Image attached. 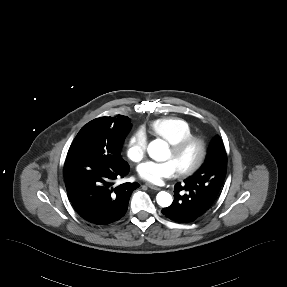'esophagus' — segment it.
I'll return each mask as SVG.
<instances>
[{
	"label": "esophagus",
	"mask_w": 287,
	"mask_h": 287,
	"mask_svg": "<svg viewBox=\"0 0 287 287\" xmlns=\"http://www.w3.org/2000/svg\"><path fill=\"white\" fill-rule=\"evenodd\" d=\"M147 186L152 189V190H155V191H159L161 190L159 187L153 185V184H150V183H147Z\"/></svg>",
	"instance_id": "esophagus-1"
}]
</instances>
